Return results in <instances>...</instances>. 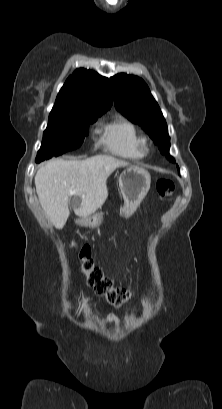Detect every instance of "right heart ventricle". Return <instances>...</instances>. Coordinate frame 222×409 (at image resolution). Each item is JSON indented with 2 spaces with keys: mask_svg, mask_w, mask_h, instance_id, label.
I'll return each instance as SVG.
<instances>
[{
  "mask_svg": "<svg viewBox=\"0 0 222 409\" xmlns=\"http://www.w3.org/2000/svg\"><path fill=\"white\" fill-rule=\"evenodd\" d=\"M102 143L110 152L127 159H141L146 154V141L130 120L117 117L102 129Z\"/></svg>",
  "mask_w": 222,
  "mask_h": 409,
  "instance_id": "obj_1",
  "label": "right heart ventricle"
}]
</instances>
